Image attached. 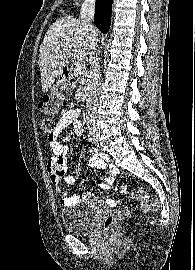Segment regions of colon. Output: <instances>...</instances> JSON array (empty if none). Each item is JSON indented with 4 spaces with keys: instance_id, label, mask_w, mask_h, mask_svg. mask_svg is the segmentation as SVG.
Here are the masks:
<instances>
[{
    "instance_id": "obj_1",
    "label": "colon",
    "mask_w": 195,
    "mask_h": 270,
    "mask_svg": "<svg viewBox=\"0 0 195 270\" xmlns=\"http://www.w3.org/2000/svg\"><path fill=\"white\" fill-rule=\"evenodd\" d=\"M68 96V90L65 88H57L51 94L44 96L39 104V111L45 116L41 121V129L47 135H52L55 130L54 118L59 112L62 100ZM119 191L122 194H127L141 201V207L146 211H155L158 208L156 199L141 193L138 190L127 186H120ZM129 214L128 209H120L108 215L103 221V229L110 231L114 225L123 217Z\"/></svg>"
}]
</instances>
